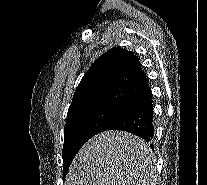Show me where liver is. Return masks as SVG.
I'll list each match as a JSON object with an SVG mask.
<instances>
[{"label": "liver", "mask_w": 207, "mask_h": 185, "mask_svg": "<svg viewBox=\"0 0 207 185\" xmlns=\"http://www.w3.org/2000/svg\"><path fill=\"white\" fill-rule=\"evenodd\" d=\"M155 163L140 137L104 131L78 151L64 185H149Z\"/></svg>", "instance_id": "1"}]
</instances>
